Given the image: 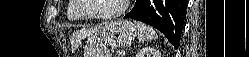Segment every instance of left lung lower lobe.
<instances>
[{
	"mask_svg": "<svg viewBox=\"0 0 249 57\" xmlns=\"http://www.w3.org/2000/svg\"><path fill=\"white\" fill-rule=\"evenodd\" d=\"M188 0H137L124 18L145 22L160 30L178 48Z\"/></svg>",
	"mask_w": 249,
	"mask_h": 57,
	"instance_id": "left-lung-lower-lobe-1",
	"label": "left lung lower lobe"
}]
</instances>
